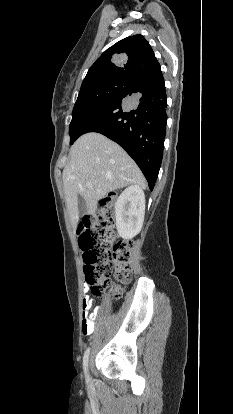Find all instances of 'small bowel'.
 I'll return each instance as SVG.
<instances>
[{
  "label": "small bowel",
  "instance_id": "small-bowel-1",
  "mask_svg": "<svg viewBox=\"0 0 233 414\" xmlns=\"http://www.w3.org/2000/svg\"><path fill=\"white\" fill-rule=\"evenodd\" d=\"M83 289H84V296H83V312H82V332L84 335H90L93 333L94 331V319L97 316L98 312H99V308H95L94 311H92V300L89 297V295L87 294L89 292L90 289V284L89 283H84L83 284Z\"/></svg>",
  "mask_w": 233,
  "mask_h": 414
}]
</instances>
